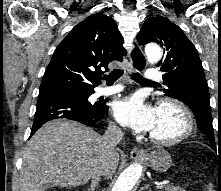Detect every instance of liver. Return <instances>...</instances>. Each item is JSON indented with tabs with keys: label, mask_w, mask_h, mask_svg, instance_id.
I'll use <instances>...</instances> for the list:
<instances>
[{
	"label": "liver",
	"mask_w": 221,
	"mask_h": 191,
	"mask_svg": "<svg viewBox=\"0 0 221 191\" xmlns=\"http://www.w3.org/2000/svg\"><path fill=\"white\" fill-rule=\"evenodd\" d=\"M101 139L93 129L74 121L59 119L45 123L25 148L21 191L86 184L105 161L108 163L105 177H111L119 155L106 160Z\"/></svg>",
	"instance_id": "6515ba94"
}]
</instances>
